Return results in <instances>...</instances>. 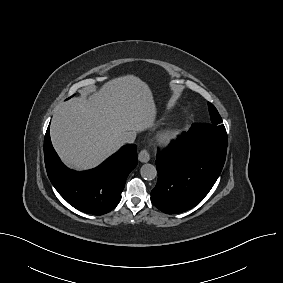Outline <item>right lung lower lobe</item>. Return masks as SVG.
Segmentation results:
<instances>
[{
  "mask_svg": "<svg viewBox=\"0 0 283 283\" xmlns=\"http://www.w3.org/2000/svg\"><path fill=\"white\" fill-rule=\"evenodd\" d=\"M44 156L48 177L58 193L74 208L93 215L106 214L118 205L126 178L137 165V147L129 144L94 169H68L52 146L49 127Z\"/></svg>",
  "mask_w": 283,
  "mask_h": 283,
  "instance_id": "right-lung-lower-lobe-1",
  "label": "right lung lower lobe"
}]
</instances>
